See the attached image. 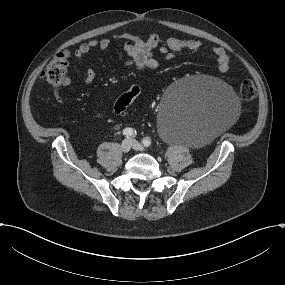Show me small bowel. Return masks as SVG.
Here are the masks:
<instances>
[{
  "label": "small bowel",
  "instance_id": "1",
  "mask_svg": "<svg viewBox=\"0 0 285 285\" xmlns=\"http://www.w3.org/2000/svg\"><path fill=\"white\" fill-rule=\"evenodd\" d=\"M114 40H122L123 50L126 54L125 66L140 70L154 69L159 62L154 51L158 50L160 55L171 60L176 53L189 51L198 53L203 45L199 40H182L178 38H168L165 43L156 33H151L147 37H140L130 33L116 34L112 38L92 39L86 43H82L75 51L74 56L81 61L90 51L94 49L106 50L110 47ZM213 54L216 57L218 68L221 72H227L230 69L229 56L224 48L214 47ZM96 73L93 68H88L84 76V82L91 84L95 80ZM71 83L69 77H65L59 84L61 88L68 87Z\"/></svg>",
  "mask_w": 285,
  "mask_h": 285
}]
</instances>
